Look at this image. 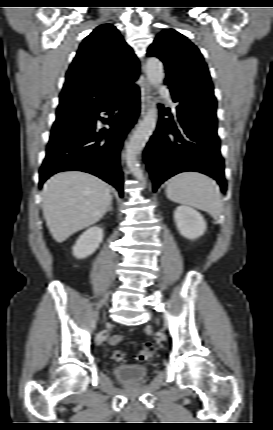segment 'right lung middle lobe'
I'll return each mask as SVG.
<instances>
[{
    "label": "right lung middle lobe",
    "instance_id": "right-lung-middle-lobe-1",
    "mask_svg": "<svg viewBox=\"0 0 273 430\" xmlns=\"http://www.w3.org/2000/svg\"><path fill=\"white\" fill-rule=\"evenodd\" d=\"M90 111L80 102H73L58 107L57 119L52 127V135L60 134L82 127L88 120Z\"/></svg>",
    "mask_w": 273,
    "mask_h": 430
}]
</instances>
